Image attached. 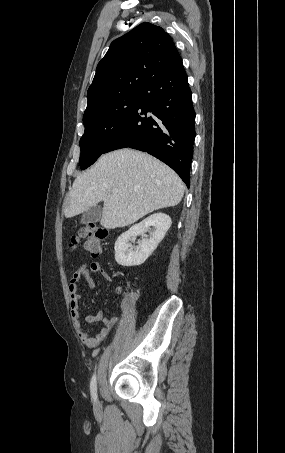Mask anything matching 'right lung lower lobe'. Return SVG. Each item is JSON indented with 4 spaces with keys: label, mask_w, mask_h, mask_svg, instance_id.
Here are the masks:
<instances>
[{
    "label": "right lung lower lobe",
    "mask_w": 285,
    "mask_h": 453,
    "mask_svg": "<svg viewBox=\"0 0 285 453\" xmlns=\"http://www.w3.org/2000/svg\"><path fill=\"white\" fill-rule=\"evenodd\" d=\"M194 123L192 93L181 63L145 86L104 153L125 147L145 151L170 166L189 188Z\"/></svg>",
    "instance_id": "obj_1"
}]
</instances>
